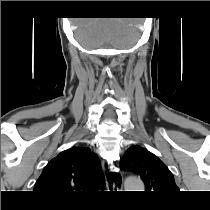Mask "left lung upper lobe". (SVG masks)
Wrapping results in <instances>:
<instances>
[{
    "label": "left lung upper lobe",
    "instance_id": "obj_1",
    "mask_svg": "<svg viewBox=\"0 0 210 210\" xmlns=\"http://www.w3.org/2000/svg\"><path fill=\"white\" fill-rule=\"evenodd\" d=\"M133 163V171L145 183V191L167 195L178 192L174 177L167 166L154 154L139 145H133L120 161L123 168Z\"/></svg>",
    "mask_w": 210,
    "mask_h": 210
}]
</instances>
